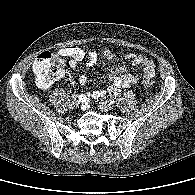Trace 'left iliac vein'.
Returning <instances> with one entry per match:
<instances>
[{
    "instance_id": "1",
    "label": "left iliac vein",
    "mask_w": 195,
    "mask_h": 195,
    "mask_svg": "<svg viewBox=\"0 0 195 195\" xmlns=\"http://www.w3.org/2000/svg\"><path fill=\"white\" fill-rule=\"evenodd\" d=\"M99 104L100 108L104 111H110L113 108V105L108 101L101 100Z\"/></svg>"
}]
</instances>
